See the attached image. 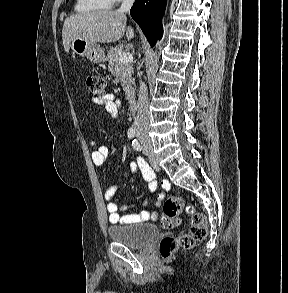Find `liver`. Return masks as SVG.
<instances>
[{"instance_id": "obj_1", "label": "liver", "mask_w": 288, "mask_h": 293, "mask_svg": "<svg viewBox=\"0 0 288 293\" xmlns=\"http://www.w3.org/2000/svg\"><path fill=\"white\" fill-rule=\"evenodd\" d=\"M125 13L118 11H94L75 14L67 17L63 24L62 40L65 52H69L73 39L83 38L93 43H112L123 37L131 40L134 31L131 26L126 28Z\"/></svg>"}]
</instances>
